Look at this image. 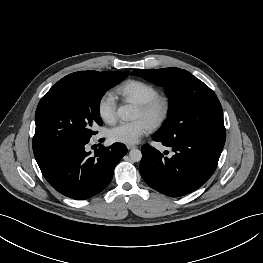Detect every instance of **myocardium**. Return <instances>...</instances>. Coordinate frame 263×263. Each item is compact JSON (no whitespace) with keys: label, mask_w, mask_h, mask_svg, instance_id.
I'll return each mask as SVG.
<instances>
[{"label":"myocardium","mask_w":263,"mask_h":263,"mask_svg":"<svg viewBox=\"0 0 263 263\" xmlns=\"http://www.w3.org/2000/svg\"><path fill=\"white\" fill-rule=\"evenodd\" d=\"M137 106L152 127H158L170 113L171 100L165 94H157L148 101L137 104Z\"/></svg>","instance_id":"f54148a6"}]
</instances>
